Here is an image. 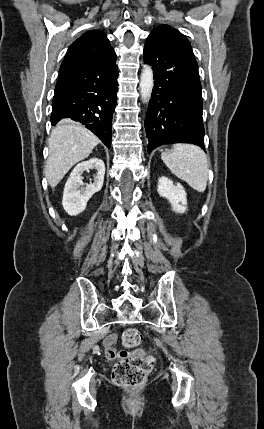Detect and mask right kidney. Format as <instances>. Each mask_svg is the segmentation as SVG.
Instances as JSON below:
<instances>
[{
	"label": "right kidney",
	"mask_w": 264,
	"mask_h": 429,
	"mask_svg": "<svg viewBox=\"0 0 264 429\" xmlns=\"http://www.w3.org/2000/svg\"><path fill=\"white\" fill-rule=\"evenodd\" d=\"M96 170L94 182L85 184L82 174L84 171ZM105 175V164L99 158H91L75 166L68 178L63 192L62 205L64 210L71 216H76L83 212L88 200L100 191ZM85 186V187H83Z\"/></svg>",
	"instance_id": "obj_1"
}]
</instances>
